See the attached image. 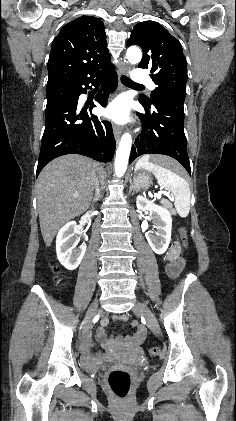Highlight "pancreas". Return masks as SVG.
<instances>
[{
  "label": "pancreas",
  "mask_w": 236,
  "mask_h": 421,
  "mask_svg": "<svg viewBox=\"0 0 236 421\" xmlns=\"http://www.w3.org/2000/svg\"><path fill=\"white\" fill-rule=\"evenodd\" d=\"M162 204L165 206V208H170L171 215H176L175 208H172V202H169V200H164Z\"/></svg>",
  "instance_id": "1"
}]
</instances>
